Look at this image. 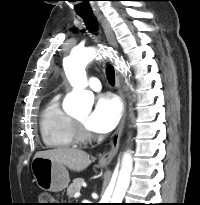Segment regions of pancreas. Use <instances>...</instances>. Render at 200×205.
Masks as SVG:
<instances>
[{"label":"pancreas","instance_id":"pancreas-1","mask_svg":"<svg viewBox=\"0 0 200 205\" xmlns=\"http://www.w3.org/2000/svg\"><path fill=\"white\" fill-rule=\"evenodd\" d=\"M83 182L84 180L82 178H76L73 180V182L67 188V195L69 198H72L76 192L81 190Z\"/></svg>","mask_w":200,"mask_h":205}]
</instances>
